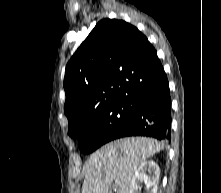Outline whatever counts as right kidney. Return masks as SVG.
Wrapping results in <instances>:
<instances>
[{
	"mask_svg": "<svg viewBox=\"0 0 221 193\" xmlns=\"http://www.w3.org/2000/svg\"><path fill=\"white\" fill-rule=\"evenodd\" d=\"M147 172L150 176L146 174ZM159 176L160 168L154 161L143 162L135 171L129 193H140L141 182L145 183L147 193H157Z\"/></svg>",
	"mask_w": 221,
	"mask_h": 193,
	"instance_id": "obj_1",
	"label": "right kidney"
}]
</instances>
